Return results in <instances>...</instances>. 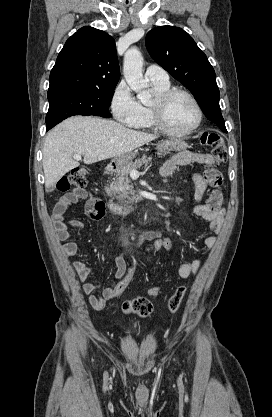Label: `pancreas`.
<instances>
[{"instance_id":"pancreas-1","label":"pancreas","mask_w":272,"mask_h":417,"mask_svg":"<svg viewBox=\"0 0 272 417\" xmlns=\"http://www.w3.org/2000/svg\"><path fill=\"white\" fill-rule=\"evenodd\" d=\"M150 161L151 158H147V156L144 155L142 158L136 159L134 162H130L123 168L116 171V177L111 182L109 188L120 204L126 205L128 203L136 202L137 195L130 184L131 181L128 175L131 170L137 169L142 165L148 167Z\"/></svg>"}]
</instances>
